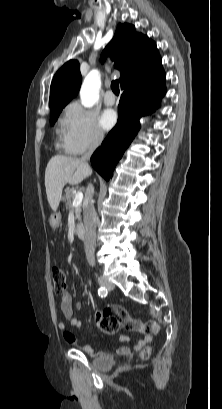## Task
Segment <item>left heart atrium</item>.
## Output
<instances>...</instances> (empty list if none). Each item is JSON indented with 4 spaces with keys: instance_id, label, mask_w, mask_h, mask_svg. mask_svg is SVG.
I'll list each match as a JSON object with an SVG mask.
<instances>
[{
    "instance_id": "obj_1",
    "label": "left heart atrium",
    "mask_w": 222,
    "mask_h": 409,
    "mask_svg": "<svg viewBox=\"0 0 222 409\" xmlns=\"http://www.w3.org/2000/svg\"><path fill=\"white\" fill-rule=\"evenodd\" d=\"M116 121L117 115L114 110L107 109L101 114L100 125L105 131L111 129L115 125Z\"/></svg>"
}]
</instances>
